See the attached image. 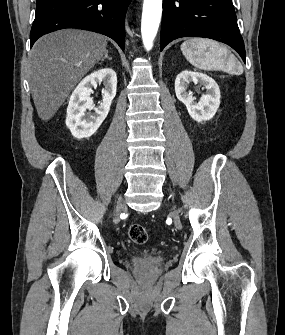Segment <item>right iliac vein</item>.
<instances>
[{
    "label": "right iliac vein",
    "mask_w": 285,
    "mask_h": 335,
    "mask_svg": "<svg viewBox=\"0 0 285 335\" xmlns=\"http://www.w3.org/2000/svg\"><path fill=\"white\" fill-rule=\"evenodd\" d=\"M126 210V205L123 201L122 198L119 199V202H118V212H123Z\"/></svg>",
    "instance_id": "63e3f726"
}]
</instances>
